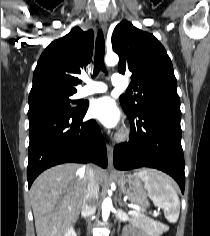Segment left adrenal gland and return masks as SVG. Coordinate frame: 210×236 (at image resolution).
Here are the masks:
<instances>
[{
  "label": "left adrenal gland",
  "mask_w": 210,
  "mask_h": 236,
  "mask_svg": "<svg viewBox=\"0 0 210 236\" xmlns=\"http://www.w3.org/2000/svg\"><path fill=\"white\" fill-rule=\"evenodd\" d=\"M118 203L120 206L126 207L125 204L123 203V201L121 200V194L119 195Z\"/></svg>",
  "instance_id": "a2214340"
}]
</instances>
